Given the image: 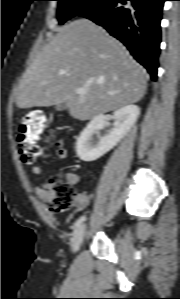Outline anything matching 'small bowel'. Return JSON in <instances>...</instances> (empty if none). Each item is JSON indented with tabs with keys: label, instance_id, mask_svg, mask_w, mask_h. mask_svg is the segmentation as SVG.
Masks as SVG:
<instances>
[{
	"label": "small bowel",
	"instance_id": "1",
	"mask_svg": "<svg viewBox=\"0 0 180 299\" xmlns=\"http://www.w3.org/2000/svg\"><path fill=\"white\" fill-rule=\"evenodd\" d=\"M53 154L51 152H42L39 155V160H45L50 157H52ZM56 158L58 160H65L67 158V151L65 149H59L56 152ZM31 172L34 175H39L42 173V167L39 165H34L31 167ZM64 179L66 182L69 184H75L78 180V177L75 173H66L64 176ZM50 184H46L43 186H38L35 188L36 194L39 196V198L44 202L45 199L48 196V191H49ZM90 200V196L85 193V192H79L76 195V201H75V206L79 209L85 208Z\"/></svg>",
	"mask_w": 180,
	"mask_h": 299
}]
</instances>
